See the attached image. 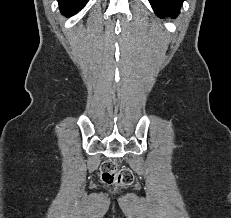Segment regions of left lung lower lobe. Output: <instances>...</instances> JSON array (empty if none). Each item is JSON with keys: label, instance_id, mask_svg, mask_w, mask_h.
I'll return each mask as SVG.
<instances>
[{"label": "left lung lower lobe", "instance_id": "obj_1", "mask_svg": "<svg viewBox=\"0 0 231 218\" xmlns=\"http://www.w3.org/2000/svg\"><path fill=\"white\" fill-rule=\"evenodd\" d=\"M184 0H149L152 8L158 15L176 16L180 12Z\"/></svg>", "mask_w": 231, "mask_h": 218}]
</instances>
